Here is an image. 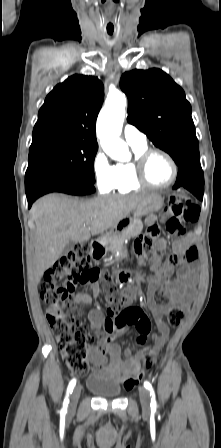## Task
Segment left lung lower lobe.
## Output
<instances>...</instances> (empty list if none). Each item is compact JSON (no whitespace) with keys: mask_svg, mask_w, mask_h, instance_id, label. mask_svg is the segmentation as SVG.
<instances>
[{"mask_svg":"<svg viewBox=\"0 0 221 448\" xmlns=\"http://www.w3.org/2000/svg\"><path fill=\"white\" fill-rule=\"evenodd\" d=\"M184 187L198 199H203L204 174L201 165L179 169L174 189Z\"/></svg>","mask_w":221,"mask_h":448,"instance_id":"obj_1","label":"left lung lower lobe"}]
</instances>
